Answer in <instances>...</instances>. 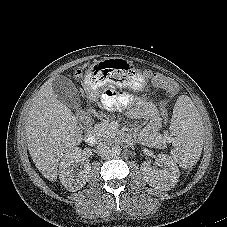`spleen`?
<instances>
[{
	"mask_svg": "<svg viewBox=\"0 0 227 227\" xmlns=\"http://www.w3.org/2000/svg\"><path fill=\"white\" fill-rule=\"evenodd\" d=\"M173 110L172 129L177 133L173 157L182 168H189L201 153L204 131L199 121L200 113L187 96L178 97L173 103Z\"/></svg>",
	"mask_w": 227,
	"mask_h": 227,
	"instance_id": "spleen-1",
	"label": "spleen"
}]
</instances>
